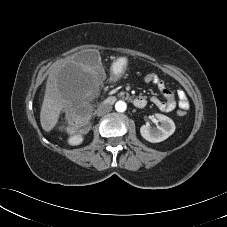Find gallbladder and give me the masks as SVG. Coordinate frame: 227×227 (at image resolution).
Listing matches in <instances>:
<instances>
[{
    "mask_svg": "<svg viewBox=\"0 0 227 227\" xmlns=\"http://www.w3.org/2000/svg\"><path fill=\"white\" fill-rule=\"evenodd\" d=\"M76 60L78 62H82V63H85L86 65L94 67V66H99L100 56L97 51L89 49V50H84L80 52L77 55Z\"/></svg>",
    "mask_w": 227,
    "mask_h": 227,
    "instance_id": "1",
    "label": "gallbladder"
}]
</instances>
